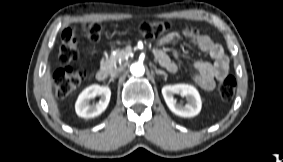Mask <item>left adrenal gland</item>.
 Wrapping results in <instances>:
<instances>
[{"mask_svg":"<svg viewBox=\"0 0 283 162\" xmlns=\"http://www.w3.org/2000/svg\"><path fill=\"white\" fill-rule=\"evenodd\" d=\"M155 73L156 74H162V75H164L167 78V74L164 71H162V70H159V69L155 68Z\"/></svg>","mask_w":283,"mask_h":162,"instance_id":"1","label":"left adrenal gland"}]
</instances>
